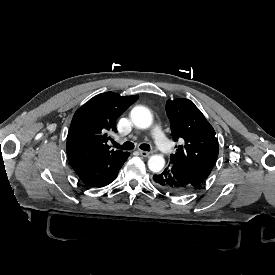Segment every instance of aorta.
I'll list each match as a JSON object with an SVG mask.
<instances>
[{
	"instance_id": "1",
	"label": "aorta",
	"mask_w": 275,
	"mask_h": 275,
	"mask_svg": "<svg viewBox=\"0 0 275 275\" xmlns=\"http://www.w3.org/2000/svg\"><path fill=\"white\" fill-rule=\"evenodd\" d=\"M134 125L141 129L147 130L154 125L153 115L145 106H136L130 113ZM165 165V159L162 155H152L148 159L149 169L154 172H160Z\"/></svg>"
}]
</instances>
